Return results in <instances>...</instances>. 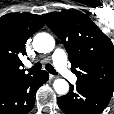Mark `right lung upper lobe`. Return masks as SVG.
<instances>
[{
  "instance_id": "right-lung-upper-lobe-1",
  "label": "right lung upper lobe",
  "mask_w": 114,
  "mask_h": 114,
  "mask_svg": "<svg viewBox=\"0 0 114 114\" xmlns=\"http://www.w3.org/2000/svg\"><path fill=\"white\" fill-rule=\"evenodd\" d=\"M44 26L39 15L9 13L0 17V87L30 75L20 69L28 38Z\"/></svg>"
}]
</instances>
